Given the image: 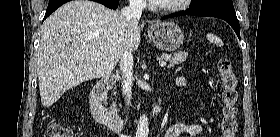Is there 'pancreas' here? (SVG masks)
<instances>
[{"mask_svg": "<svg viewBox=\"0 0 280 137\" xmlns=\"http://www.w3.org/2000/svg\"><path fill=\"white\" fill-rule=\"evenodd\" d=\"M188 54L186 52H178L173 54H162L161 59L168 61V68H173L175 65H178L179 63H182L186 61ZM112 110L116 111V105H113L111 107Z\"/></svg>", "mask_w": 280, "mask_h": 137, "instance_id": "obj_1", "label": "pancreas"}]
</instances>
